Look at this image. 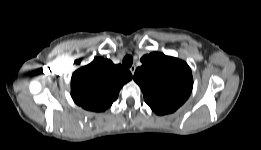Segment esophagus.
<instances>
[{
  "instance_id": "34e87169",
  "label": "esophagus",
  "mask_w": 261,
  "mask_h": 150,
  "mask_svg": "<svg viewBox=\"0 0 261 150\" xmlns=\"http://www.w3.org/2000/svg\"><path fill=\"white\" fill-rule=\"evenodd\" d=\"M129 70H130L131 74L134 75L135 70H136V67L133 65V66H131V67L129 68Z\"/></svg>"
}]
</instances>
